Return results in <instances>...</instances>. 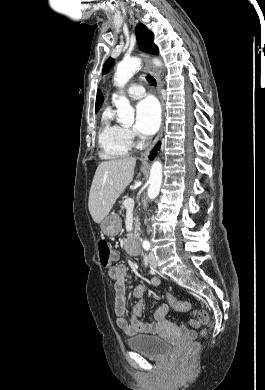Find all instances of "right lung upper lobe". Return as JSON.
Segmentation results:
<instances>
[{"mask_svg": "<svg viewBox=\"0 0 265 390\" xmlns=\"http://www.w3.org/2000/svg\"><path fill=\"white\" fill-rule=\"evenodd\" d=\"M103 94L100 90L97 91V97H96V111L100 109L102 103H103Z\"/></svg>", "mask_w": 265, "mask_h": 390, "instance_id": "cb5924a9", "label": "right lung upper lobe"}]
</instances>
